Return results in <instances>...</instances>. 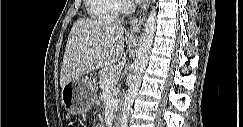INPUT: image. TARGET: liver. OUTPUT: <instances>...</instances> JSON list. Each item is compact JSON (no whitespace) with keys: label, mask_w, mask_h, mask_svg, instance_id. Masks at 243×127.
Listing matches in <instances>:
<instances>
[{"label":"liver","mask_w":243,"mask_h":127,"mask_svg":"<svg viewBox=\"0 0 243 127\" xmlns=\"http://www.w3.org/2000/svg\"><path fill=\"white\" fill-rule=\"evenodd\" d=\"M125 29L102 20L81 18L71 28L60 73V85L79 79L123 58ZM128 40L131 37L128 35Z\"/></svg>","instance_id":"obj_1"}]
</instances>
